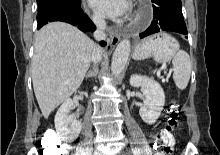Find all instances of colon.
<instances>
[{
	"instance_id": "1",
	"label": "colon",
	"mask_w": 220,
	"mask_h": 155,
	"mask_svg": "<svg viewBox=\"0 0 220 155\" xmlns=\"http://www.w3.org/2000/svg\"><path fill=\"white\" fill-rule=\"evenodd\" d=\"M180 121V110L178 102L174 101L170 104L166 111L165 127L161 136L157 137V144H149V149H156L155 155H171L173 152V138L171 132L178 126ZM44 155H63L64 147L56 140L54 135L47 134L43 138Z\"/></svg>"
}]
</instances>
